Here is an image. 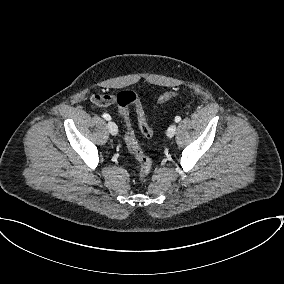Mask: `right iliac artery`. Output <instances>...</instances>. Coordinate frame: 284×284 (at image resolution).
I'll use <instances>...</instances> for the list:
<instances>
[{
    "label": "right iliac artery",
    "mask_w": 284,
    "mask_h": 284,
    "mask_svg": "<svg viewBox=\"0 0 284 284\" xmlns=\"http://www.w3.org/2000/svg\"><path fill=\"white\" fill-rule=\"evenodd\" d=\"M102 116H103L104 119H106L108 121L111 120V116L107 113H104Z\"/></svg>",
    "instance_id": "82829eb1"
}]
</instances>
